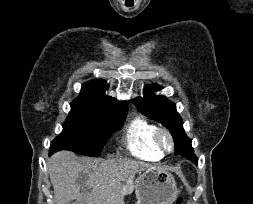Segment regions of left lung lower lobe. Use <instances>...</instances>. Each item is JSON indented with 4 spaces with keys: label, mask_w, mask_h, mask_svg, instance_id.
I'll return each mask as SVG.
<instances>
[{
    "label": "left lung lower lobe",
    "mask_w": 253,
    "mask_h": 204,
    "mask_svg": "<svg viewBox=\"0 0 253 204\" xmlns=\"http://www.w3.org/2000/svg\"><path fill=\"white\" fill-rule=\"evenodd\" d=\"M188 158L191 159V160H193V161H195V162H197V160H198L194 153L190 154L188 156Z\"/></svg>",
    "instance_id": "1"
}]
</instances>
